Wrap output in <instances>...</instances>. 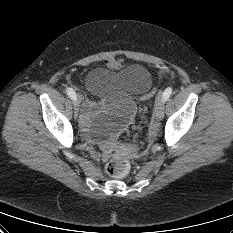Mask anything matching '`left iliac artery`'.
I'll list each match as a JSON object with an SVG mask.
<instances>
[{"mask_svg":"<svg viewBox=\"0 0 233 233\" xmlns=\"http://www.w3.org/2000/svg\"><path fill=\"white\" fill-rule=\"evenodd\" d=\"M171 94H172V88L171 87L166 88L163 93L164 101H166L170 97Z\"/></svg>","mask_w":233,"mask_h":233,"instance_id":"1","label":"left iliac artery"}]
</instances>
